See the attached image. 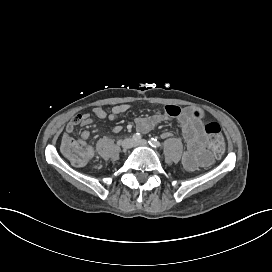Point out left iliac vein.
Masks as SVG:
<instances>
[{
    "label": "left iliac vein",
    "mask_w": 272,
    "mask_h": 272,
    "mask_svg": "<svg viewBox=\"0 0 272 272\" xmlns=\"http://www.w3.org/2000/svg\"><path fill=\"white\" fill-rule=\"evenodd\" d=\"M148 141L147 140H140V141H137V142H133V146H148Z\"/></svg>",
    "instance_id": "left-iliac-vein-1"
}]
</instances>
